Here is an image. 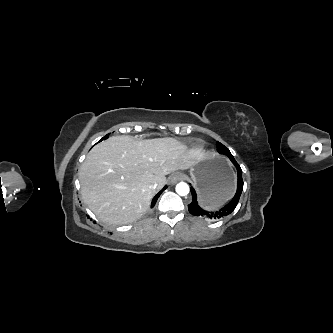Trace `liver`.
<instances>
[{
    "instance_id": "1",
    "label": "liver",
    "mask_w": 333,
    "mask_h": 333,
    "mask_svg": "<svg viewBox=\"0 0 333 333\" xmlns=\"http://www.w3.org/2000/svg\"><path fill=\"white\" fill-rule=\"evenodd\" d=\"M204 157L174 138L135 140L128 135L95 145L79 168L85 204L104 223L122 225L139 219L166 175L187 170Z\"/></svg>"
}]
</instances>
